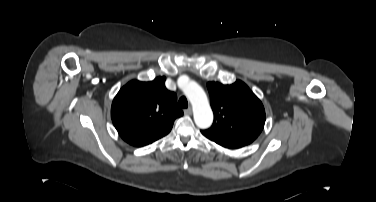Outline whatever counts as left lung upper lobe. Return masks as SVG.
I'll use <instances>...</instances> for the list:
<instances>
[{"instance_id":"left-lung-upper-lobe-1","label":"left lung upper lobe","mask_w":376,"mask_h":202,"mask_svg":"<svg viewBox=\"0 0 376 202\" xmlns=\"http://www.w3.org/2000/svg\"><path fill=\"white\" fill-rule=\"evenodd\" d=\"M214 122L208 129L229 138L252 143L265 123V110L261 101L240 80L232 85L208 82Z\"/></svg>"}]
</instances>
